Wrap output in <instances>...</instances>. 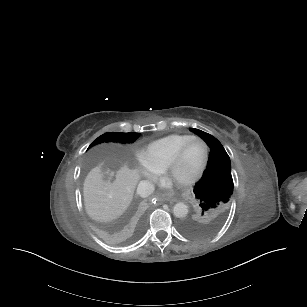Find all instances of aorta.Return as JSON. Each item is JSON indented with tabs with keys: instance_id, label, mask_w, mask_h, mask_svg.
Listing matches in <instances>:
<instances>
[{
	"instance_id": "obj_1",
	"label": "aorta",
	"mask_w": 307,
	"mask_h": 307,
	"mask_svg": "<svg viewBox=\"0 0 307 307\" xmlns=\"http://www.w3.org/2000/svg\"><path fill=\"white\" fill-rule=\"evenodd\" d=\"M173 214L177 218H184L188 214V207L183 202H178L173 207Z\"/></svg>"
}]
</instances>
